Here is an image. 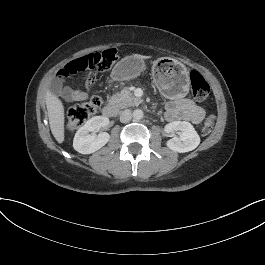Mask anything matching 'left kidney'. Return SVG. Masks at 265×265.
I'll return each mask as SVG.
<instances>
[{"mask_svg":"<svg viewBox=\"0 0 265 265\" xmlns=\"http://www.w3.org/2000/svg\"><path fill=\"white\" fill-rule=\"evenodd\" d=\"M166 133L174 134L176 131L179 136H174L167 141L169 149L184 153L194 150L200 144V137L194 127L186 121H174L164 127Z\"/></svg>","mask_w":265,"mask_h":265,"instance_id":"5707ae66","label":"left kidney"}]
</instances>
